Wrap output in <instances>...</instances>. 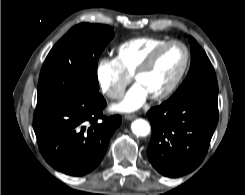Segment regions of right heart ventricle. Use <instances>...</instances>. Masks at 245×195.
<instances>
[{"label": "right heart ventricle", "mask_w": 245, "mask_h": 195, "mask_svg": "<svg viewBox=\"0 0 245 195\" xmlns=\"http://www.w3.org/2000/svg\"><path fill=\"white\" fill-rule=\"evenodd\" d=\"M167 42L164 39L140 37L120 44L116 50L118 64L127 75H132L146 56L159 45Z\"/></svg>", "instance_id": "right-heart-ventricle-1"}]
</instances>
